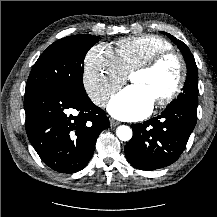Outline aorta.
<instances>
[{"mask_svg": "<svg viewBox=\"0 0 217 217\" xmlns=\"http://www.w3.org/2000/svg\"><path fill=\"white\" fill-rule=\"evenodd\" d=\"M132 134V129L129 126L121 125L116 129V135L121 141H129Z\"/></svg>", "mask_w": 217, "mask_h": 217, "instance_id": "aorta-1", "label": "aorta"}]
</instances>
